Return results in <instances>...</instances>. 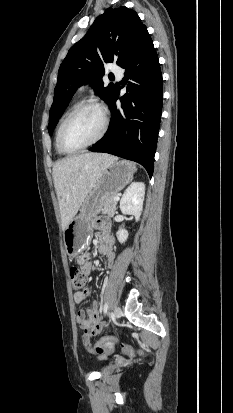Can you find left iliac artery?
Returning <instances> with one entry per match:
<instances>
[{"label": "left iliac artery", "instance_id": "left-iliac-artery-1", "mask_svg": "<svg viewBox=\"0 0 233 413\" xmlns=\"http://www.w3.org/2000/svg\"><path fill=\"white\" fill-rule=\"evenodd\" d=\"M107 310H108V303L106 302L103 307V311L105 314L107 313Z\"/></svg>", "mask_w": 233, "mask_h": 413}]
</instances>
